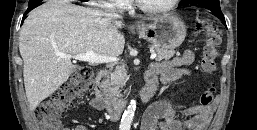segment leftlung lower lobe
<instances>
[{
  "instance_id": "obj_1",
  "label": "left lung lower lobe",
  "mask_w": 257,
  "mask_h": 130,
  "mask_svg": "<svg viewBox=\"0 0 257 130\" xmlns=\"http://www.w3.org/2000/svg\"><path fill=\"white\" fill-rule=\"evenodd\" d=\"M201 4L204 5V8L210 10L213 15L217 16L218 18H220L226 24L225 18H224L223 13L221 12L220 4L219 3L204 2V3H201Z\"/></svg>"
}]
</instances>
